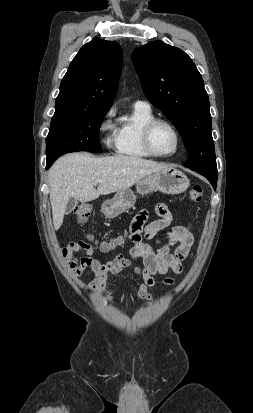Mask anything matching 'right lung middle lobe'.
<instances>
[{
    "label": "right lung middle lobe",
    "mask_w": 253,
    "mask_h": 413,
    "mask_svg": "<svg viewBox=\"0 0 253 413\" xmlns=\"http://www.w3.org/2000/svg\"><path fill=\"white\" fill-rule=\"evenodd\" d=\"M108 111L53 117L46 138L47 161L76 151L102 152L98 130Z\"/></svg>",
    "instance_id": "dd1d6c3e"
}]
</instances>
